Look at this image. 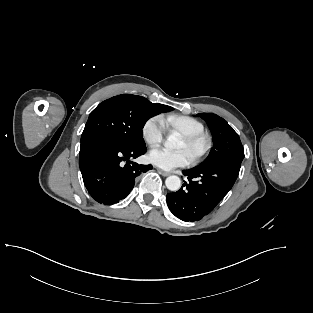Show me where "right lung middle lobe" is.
Listing matches in <instances>:
<instances>
[{"label":"right lung middle lobe","mask_w":313,"mask_h":313,"mask_svg":"<svg viewBox=\"0 0 313 313\" xmlns=\"http://www.w3.org/2000/svg\"><path fill=\"white\" fill-rule=\"evenodd\" d=\"M172 107L154 104L146 98L122 94L100 103L89 115L81 142L93 136L103 135L126 144H145L143 131L146 121Z\"/></svg>","instance_id":"right-lung-middle-lobe-1"}]
</instances>
